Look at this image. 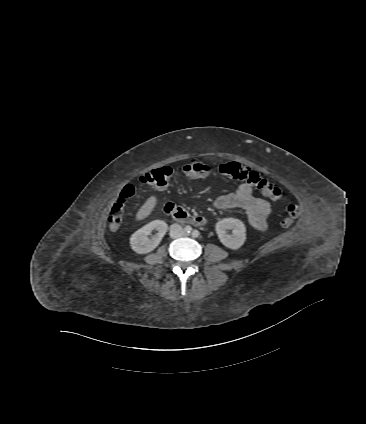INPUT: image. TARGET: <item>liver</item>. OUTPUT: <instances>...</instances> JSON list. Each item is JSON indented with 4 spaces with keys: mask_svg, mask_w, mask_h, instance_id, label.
<instances>
[{
    "mask_svg": "<svg viewBox=\"0 0 366 424\" xmlns=\"http://www.w3.org/2000/svg\"><path fill=\"white\" fill-rule=\"evenodd\" d=\"M157 205V198L156 196H150L145 203L141 206V208L138 210L136 214L137 220H142L149 216L151 212L154 210V208Z\"/></svg>",
    "mask_w": 366,
    "mask_h": 424,
    "instance_id": "1",
    "label": "liver"
}]
</instances>
